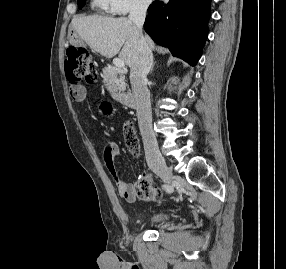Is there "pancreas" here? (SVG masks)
<instances>
[{"mask_svg":"<svg viewBox=\"0 0 286 269\" xmlns=\"http://www.w3.org/2000/svg\"><path fill=\"white\" fill-rule=\"evenodd\" d=\"M103 83L111 96L116 100H122L126 83L119 69L107 66L103 69Z\"/></svg>","mask_w":286,"mask_h":269,"instance_id":"obj_1","label":"pancreas"}]
</instances>
